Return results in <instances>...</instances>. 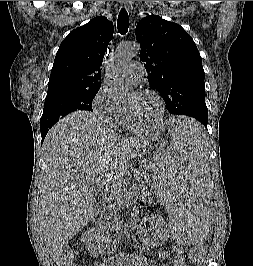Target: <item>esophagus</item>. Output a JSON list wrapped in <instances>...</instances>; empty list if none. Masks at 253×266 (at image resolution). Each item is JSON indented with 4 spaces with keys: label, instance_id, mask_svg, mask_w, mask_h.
Returning <instances> with one entry per match:
<instances>
[{
    "label": "esophagus",
    "instance_id": "obj_1",
    "mask_svg": "<svg viewBox=\"0 0 253 266\" xmlns=\"http://www.w3.org/2000/svg\"><path fill=\"white\" fill-rule=\"evenodd\" d=\"M121 4L126 7L127 9H131L132 8V1H120Z\"/></svg>",
    "mask_w": 253,
    "mask_h": 266
}]
</instances>
